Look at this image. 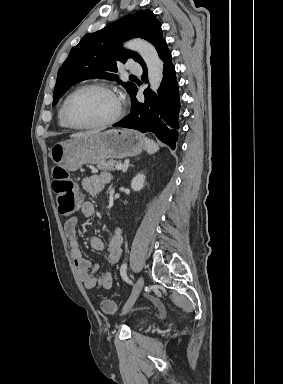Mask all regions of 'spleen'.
<instances>
[{
	"mask_svg": "<svg viewBox=\"0 0 283 384\" xmlns=\"http://www.w3.org/2000/svg\"><path fill=\"white\" fill-rule=\"evenodd\" d=\"M145 150L148 152V154H155V152H158L159 146L158 144H155L153 140H149V138H145Z\"/></svg>",
	"mask_w": 283,
	"mask_h": 384,
	"instance_id": "obj_1",
	"label": "spleen"
}]
</instances>
